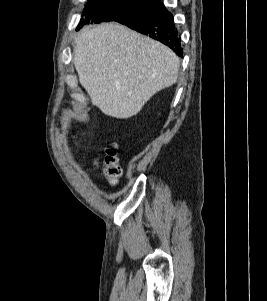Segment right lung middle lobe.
Here are the masks:
<instances>
[{
  "label": "right lung middle lobe",
  "mask_w": 267,
  "mask_h": 301,
  "mask_svg": "<svg viewBox=\"0 0 267 301\" xmlns=\"http://www.w3.org/2000/svg\"><path fill=\"white\" fill-rule=\"evenodd\" d=\"M149 6L151 2L147 0H88L79 24L114 21Z\"/></svg>",
  "instance_id": "dd1d6c3e"
}]
</instances>
